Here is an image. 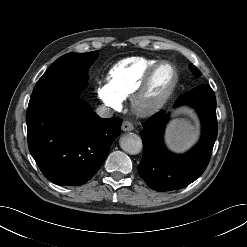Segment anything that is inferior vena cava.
I'll return each instance as SVG.
<instances>
[{"mask_svg":"<svg viewBox=\"0 0 247 247\" xmlns=\"http://www.w3.org/2000/svg\"><path fill=\"white\" fill-rule=\"evenodd\" d=\"M96 113L98 114L99 117H102V118H110L113 116L112 109H110L106 106H99L96 109Z\"/></svg>","mask_w":247,"mask_h":247,"instance_id":"obj_1","label":"inferior vena cava"}]
</instances>
